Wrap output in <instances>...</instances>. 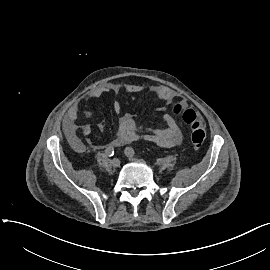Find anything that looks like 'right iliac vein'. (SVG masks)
Instances as JSON below:
<instances>
[{
	"label": "right iliac vein",
	"mask_w": 270,
	"mask_h": 270,
	"mask_svg": "<svg viewBox=\"0 0 270 270\" xmlns=\"http://www.w3.org/2000/svg\"><path fill=\"white\" fill-rule=\"evenodd\" d=\"M111 166L113 168H117L120 166V160L118 158H114L111 162H110Z\"/></svg>",
	"instance_id": "obj_1"
}]
</instances>
